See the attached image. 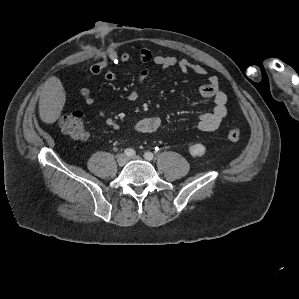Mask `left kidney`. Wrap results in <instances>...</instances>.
Here are the masks:
<instances>
[{
    "instance_id": "left-kidney-1",
    "label": "left kidney",
    "mask_w": 299,
    "mask_h": 299,
    "mask_svg": "<svg viewBox=\"0 0 299 299\" xmlns=\"http://www.w3.org/2000/svg\"><path fill=\"white\" fill-rule=\"evenodd\" d=\"M205 146L200 144V143H197V144H194V145H191L189 147V152L190 154L195 157V156H202L205 154Z\"/></svg>"
}]
</instances>
